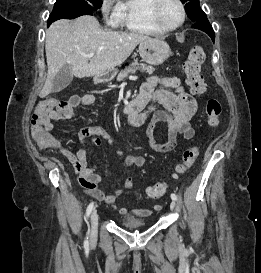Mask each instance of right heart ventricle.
Returning a JSON list of instances; mask_svg holds the SVG:
<instances>
[{
	"label": "right heart ventricle",
	"instance_id": "e07e8e85",
	"mask_svg": "<svg viewBox=\"0 0 261 273\" xmlns=\"http://www.w3.org/2000/svg\"><path fill=\"white\" fill-rule=\"evenodd\" d=\"M154 0H118L115 12L116 24L129 32L145 35L164 34L151 20Z\"/></svg>",
	"mask_w": 261,
	"mask_h": 273
}]
</instances>
